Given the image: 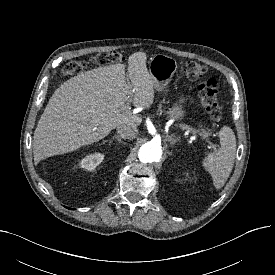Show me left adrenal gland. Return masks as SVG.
I'll use <instances>...</instances> for the list:
<instances>
[{
  "label": "left adrenal gland",
  "mask_w": 275,
  "mask_h": 275,
  "mask_svg": "<svg viewBox=\"0 0 275 275\" xmlns=\"http://www.w3.org/2000/svg\"><path fill=\"white\" fill-rule=\"evenodd\" d=\"M167 141H170V144L171 145H175V143L177 142V139L176 138H173L171 136L167 137L166 138Z\"/></svg>",
  "instance_id": "left-adrenal-gland-1"
}]
</instances>
